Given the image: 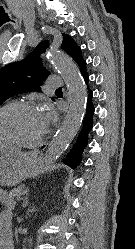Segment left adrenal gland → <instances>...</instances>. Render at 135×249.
Returning <instances> with one entry per match:
<instances>
[{"mask_svg":"<svg viewBox=\"0 0 135 249\" xmlns=\"http://www.w3.org/2000/svg\"><path fill=\"white\" fill-rule=\"evenodd\" d=\"M28 205V200L27 198L24 200L23 207H26Z\"/></svg>","mask_w":135,"mask_h":249,"instance_id":"1","label":"left adrenal gland"}]
</instances>
